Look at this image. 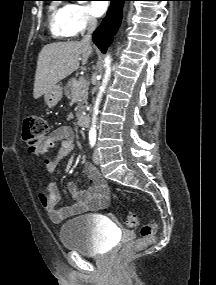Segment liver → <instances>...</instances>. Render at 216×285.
I'll return each instance as SVG.
<instances>
[{
	"instance_id": "1",
	"label": "liver",
	"mask_w": 216,
	"mask_h": 285,
	"mask_svg": "<svg viewBox=\"0 0 216 285\" xmlns=\"http://www.w3.org/2000/svg\"><path fill=\"white\" fill-rule=\"evenodd\" d=\"M92 54L90 43L83 41L57 42L45 45L39 53L33 96L38 99L59 81L72 74Z\"/></svg>"
}]
</instances>
